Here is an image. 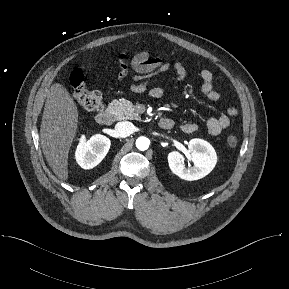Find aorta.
Here are the masks:
<instances>
[{
  "label": "aorta",
  "mask_w": 289,
  "mask_h": 289,
  "mask_svg": "<svg viewBox=\"0 0 289 289\" xmlns=\"http://www.w3.org/2000/svg\"><path fill=\"white\" fill-rule=\"evenodd\" d=\"M149 139L146 137H139L136 140V147L141 150V151H145L149 148Z\"/></svg>",
  "instance_id": "aorta-1"
}]
</instances>
